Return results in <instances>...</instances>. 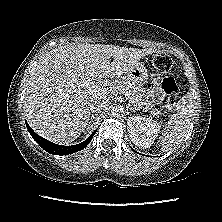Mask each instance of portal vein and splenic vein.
<instances>
[{
	"mask_svg": "<svg viewBox=\"0 0 222 222\" xmlns=\"http://www.w3.org/2000/svg\"><path fill=\"white\" fill-rule=\"evenodd\" d=\"M125 96L129 98V93H128V92H126Z\"/></svg>",
	"mask_w": 222,
	"mask_h": 222,
	"instance_id": "18ae733b",
	"label": "portal vein and splenic vein"
}]
</instances>
